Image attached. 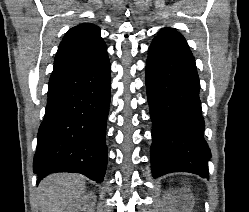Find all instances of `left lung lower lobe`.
I'll list each match as a JSON object with an SVG mask.
<instances>
[{
    "label": "left lung lower lobe",
    "mask_w": 249,
    "mask_h": 212,
    "mask_svg": "<svg viewBox=\"0 0 249 212\" xmlns=\"http://www.w3.org/2000/svg\"><path fill=\"white\" fill-rule=\"evenodd\" d=\"M152 120V176L190 172L209 179L210 149L203 138L200 83L193 55L152 43L146 62Z\"/></svg>",
    "instance_id": "left-lung-lower-lobe-1"
}]
</instances>
